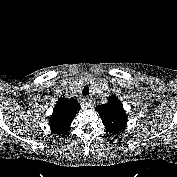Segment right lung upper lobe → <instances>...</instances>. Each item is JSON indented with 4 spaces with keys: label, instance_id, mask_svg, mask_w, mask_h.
I'll return each instance as SVG.
<instances>
[{
    "label": "right lung upper lobe",
    "instance_id": "cb5924a9",
    "mask_svg": "<svg viewBox=\"0 0 177 177\" xmlns=\"http://www.w3.org/2000/svg\"><path fill=\"white\" fill-rule=\"evenodd\" d=\"M79 110L80 104L75 99L59 98L49 121L51 131L59 136H65Z\"/></svg>",
    "mask_w": 177,
    "mask_h": 177
}]
</instances>
